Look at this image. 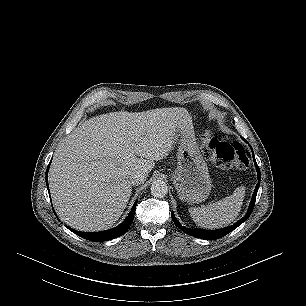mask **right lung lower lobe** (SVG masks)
Wrapping results in <instances>:
<instances>
[{
    "label": "right lung lower lobe",
    "mask_w": 306,
    "mask_h": 306,
    "mask_svg": "<svg viewBox=\"0 0 306 306\" xmlns=\"http://www.w3.org/2000/svg\"><path fill=\"white\" fill-rule=\"evenodd\" d=\"M51 162V161H50ZM50 164V163H49ZM49 169V165L47 167ZM47 174H48V170H46V185L48 188V178H47ZM48 192H49V188H48ZM137 206V201L134 203L129 215L126 217V219L117 227L107 230V231H101V232H97V233H84V232H79L77 230H74L68 226H66L69 230H71L73 233L77 234L78 236L90 240V241H95V242H99V241H108L114 238H117L121 235H123L131 226L133 219H134V213H135V209ZM55 214V212H54ZM56 215V214H55ZM57 217V215H56Z\"/></svg>",
    "instance_id": "98d812e1"
}]
</instances>
